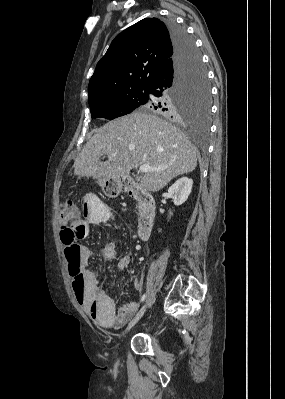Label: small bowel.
Listing matches in <instances>:
<instances>
[{"mask_svg":"<svg viewBox=\"0 0 285 399\" xmlns=\"http://www.w3.org/2000/svg\"><path fill=\"white\" fill-rule=\"evenodd\" d=\"M107 209L102 201L95 195L85 196L80 210L81 228L79 237L87 236L90 226H102L107 221ZM91 250L81 247L79 257V270L81 272L84 288L81 292L73 291V295L80 305L85 308L89 317L98 324L106 327L123 326L138 310L139 305L135 301L125 302L120 308L116 309L110 295L98 288L97 278L94 273L87 269ZM110 256V255H109ZM70 271L71 264L66 260ZM130 264V258L124 256L118 260V268L125 270ZM134 287L141 288L138 279L134 280ZM95 303H99L96 307Z\"/></svg>","mask_w":285,"mask_h":399,"instance_id":"obj_1","label":"small bowel"}]
</instances>
